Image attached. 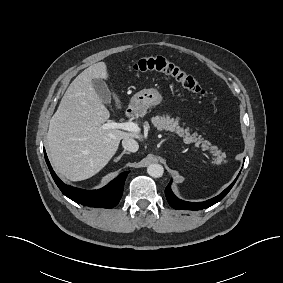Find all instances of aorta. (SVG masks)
Here are the masks:
<instances>
[{"mask_svg":"<svg viewBox=\"0 0 283 283\" xmlns=\"http://www.w3.org/2000/svg\"><path fill=\"white\" fill-rule=\"evenodd\" d=\"M147 172L151 177L159 178L163 175L164 168L162 165L154 163L148 166Z\"/></svg>","mask_w":283,"mask_h":283,"instance_id":"obj_1","label":"aorta"}]
</instances>
